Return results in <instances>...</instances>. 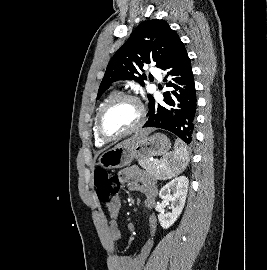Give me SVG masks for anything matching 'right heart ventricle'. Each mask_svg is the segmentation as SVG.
<instances>
[{
    "label": "right heart ventricle",
    "instance_id": "1",
    "mask_svg": "<svg viewBox=\"0 0 267 270\" xmlns=\"http://www.w3.org/2000/svg\"><path fill=\"white\" fill-rule=\"evenodd\" d=\"M114 96V94H110L108 95L98 106V109L96 111V115H95V118H94V122H93V127H92V130H93V136H94V140H95V144L97 146H103L105 144V142H103L97 135L96 133V117H97V114L99 112V110L101 109V107L109 100L111 99L112 97Z\"/></svg>",
    "mask_w": 267,
    "mask_h": 270
}]
</instances>
